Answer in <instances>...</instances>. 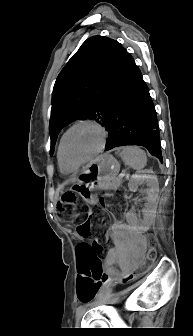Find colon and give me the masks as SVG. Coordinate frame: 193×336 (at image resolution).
Listing matches in <instances>:
<instances>
[{"label":"colon","mask_w":193,"mask_h":336,"mask_svg":"<svg viewBox=\"0 0 193 336\" xmlns=\"http://www.w3.org/2000/svg\"><path fill=\"white\" fill-rule=\"evenodd\" d=\"M78 199L73 192L63 194L58 202V208L61 212L66 213L71 211L67 218L63 220L66 226H75L78 234L83 238H90L94 234L96 237L93 243L89 246H79L77 249L78 267L81 272L89 273V279L93 284L100 285L104 279L106 271L102 263V254L107 247L108 238L104 228L109 224L110 219L106 211V201L100 198V207L94 212L88 214L85 219L81 218L82 212L76 210ZM116 210L121 209L120 205L115 206ZM156 256L154 244H150L146 258L151 261ZM138 274V269L131 272L130 278H134ZM80 299L87 302L91 296L82 288L79 290Z\"/></svg>","instance_id":"5ec220e1"}]
</instances>
